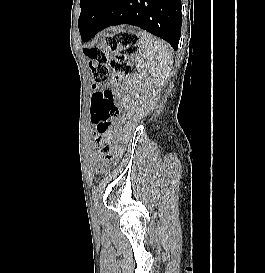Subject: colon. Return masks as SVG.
I'll return each mask as SVG.
<instances>
[{"instance_id":"5ec220e1","label":"colon","mask_w":265,"mask_h":273,"mask_svg":"<svg viewBox=\"0 0 265 273\" xmlns=\"http://www.w3.org/2000/svg\"><path fill=\"white\" fill-rule=\"evenodd\" d=\"M138 37L136 34L119 31L106 35L101 47L85 49V55L90 61V68L95 82H105L109 79V69L105 62L110 58L111 69L114 72L112 83L118 85L122 75H130L136 71L133 63L139 52ZM119 114L116 94L111 90L96 91L92 96L90 106L91 122L96 125L95 148L98 152L99 164L103 167L110 158L114 147L111 128L112 118Z\"/></svg>"}]
</instances>
